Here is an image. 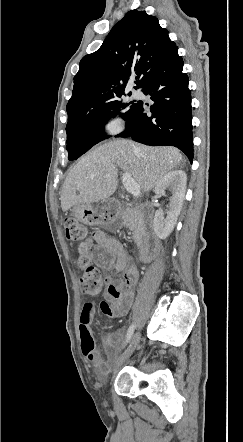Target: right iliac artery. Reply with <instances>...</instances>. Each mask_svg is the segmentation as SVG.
Segmentation results:
<instances>
[{"label":"right iliac artery","instance_id":"right-iliac-artery-1","mask_svg":"<svg viewBox=\"0 0 243 442\" xmlns=\"http://www.w3.org/2000/svg\"><path fill=\"white\" fill-rule=\"evenodd\" d=\"M134 328H135L134 324L130 325V327H129L128 331H127L126 343L129 342V340H130V338H131V336H132V334L134 332Z\"/></svg>","mask_w":243,"mask_h":442}]
</instances>
